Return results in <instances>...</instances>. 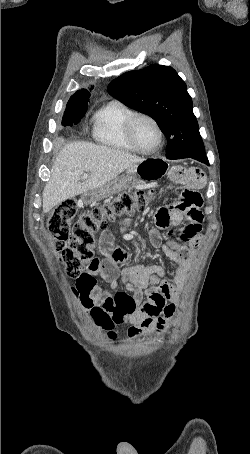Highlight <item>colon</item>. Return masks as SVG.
<instances>
[{
    "mask_svg": "<svg viewBox=\"0 0 250 454\" xmlns=\"http://www.w3.org/2000/svg\"><path fill=\"white\" fill-rule=\"evenodd\" d=\"M153 198V191L122 192L110 201L81 213L74 224L72 221L77 213L74 200L66 199L56 205L50 213L47 227L54 237L66 274L72 278L80 276L95 258L97 232L107 222L146 209ZM90 314L98 326L108 330L109 336H114L111 330L118 320L101 306L92 307Z\"/></svg>",
    "mask_w": 250,
    "mask_h": 454,
    "instance_id": "5ec220e1",
    "label": "colon"
}]
</instances>
